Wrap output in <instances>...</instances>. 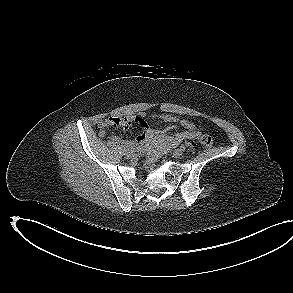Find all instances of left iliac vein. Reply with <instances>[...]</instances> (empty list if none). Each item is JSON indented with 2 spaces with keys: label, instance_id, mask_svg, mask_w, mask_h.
Segmentation results:
<instances>
[{
  "label": "left iliac vein",
  "instance_id": "obj_1",
  "mask_svg": "<svg viewBox=\"0 0 293 293\" xmlns=\"http://www.w3.org/2000/svg\"><path fill=\"white\" fill-rule=\"evenodd\" d=\"M173 154L176 158H180L183 154V151L181 149H176Z\"/></svg>",
  "mask_w": 293,
  "mask_h": 293
}]
</instances>
